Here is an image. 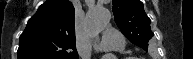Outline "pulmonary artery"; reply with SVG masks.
<instances>
[{
    "mask_svg": "<svg viewBox=\"0 0 193 59\" xmlns=\"http://www.w3.org/2000/svg\"><path fill=\"white\" fill-rule=\"evenodd\" d=\"M101 48H112L114 50H122L124 43L122 35L111 27H106L103 32V38L100 43Z\"/></svg>",
    "mask_w": 193,
    "mask_h": 59,
    "instance_id": "obj_1",
    "label": "pulmonary artery"
}]
</instances>
